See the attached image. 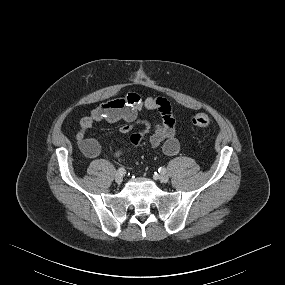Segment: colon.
<instances>
[{"label":"colon","mask_w":285,"mask_h":285,"mask_svg":"<svg viewBox=\"0 0 285 285\" xmlns=\"http://www.w3.org/2000/svg\"><path fill=\"white\" fill-rule=\"evenodd\" d=\"M190 118L192 124L199 128H207L210 124L208 115L203 112L192 113Z\"/></svg>","instance_id":"5ec220e1"}]
</instances>
